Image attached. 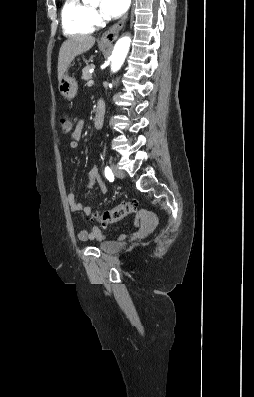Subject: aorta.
I'll return each instance as SVG.
<instances>
[{
    "label": "aorta",
    "mask_w": 254,
    "mask_h": 397,
    "mask_svg": "<svg viewBox=\"0 0 254 397\" xmlns=\"http://www.w3.org/2000/svg\"><path fill=\"white\" fill-rule=\"evenodd\" d=\"M85 1L90 3H95L98 0H85ZM130 43H131V38L129 36H124L116 42L111 56V70L113 72H116L121 68L125 60V57L129 51Z\"/></svg>",
    "instance_id": "aorta-1"
}]
</instances>
